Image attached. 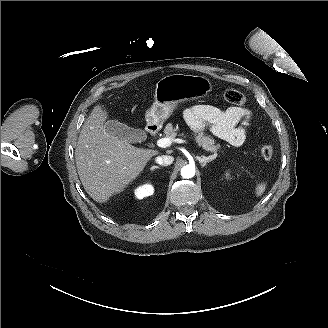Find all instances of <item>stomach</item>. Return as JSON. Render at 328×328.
<instances>
[{
	"label": "stomach",
	"instance_id": "obj_1",
	"mask_svg": "<svg viewBox=\"0 0 328 328\" xmlns=\"http://www.w3.org/2000/svg\"><path fill=\"white\" fill-rule=\"evenodd\" d=\"M212 91L210 80L204 76L172 74L161 78L155 89V101L145 112L147 129L159 130L177 105L208 95Z\"/></svg>",
	"mask_w": 328,
	"mask_h": 328
}]
</instances>
